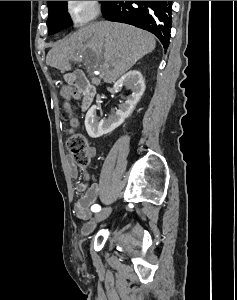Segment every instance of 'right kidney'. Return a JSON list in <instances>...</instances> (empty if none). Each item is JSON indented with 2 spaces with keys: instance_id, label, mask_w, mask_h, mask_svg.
<instances>
[{
  "instance_id": "right-kidney-1",
  "label": "right kidney",
  "mask_w": 237,
  "mask_h": 300,
  "mask_svg": "<svg viewBox=\"0 0 237 300\" xmlns=\"http://www.w3.org/2000/svg\"><path fill=\"white\" fill-rule=\"evenodd\" d=\"M121 87H126L130 89L131 95L125 97L124 103L119 105V109L113 111L111 115H108L107 119H101L99 121L97 117V105H93L86 113L85 117V127L89 137L92 139H98L102 135H108L117 127H120L124 123L125 119L131 115L135 105L139 103L144 91H145V81L139 73V71H128L126 75H123L113 87V91H118Z\"/></svg>"
}]
</instances>
